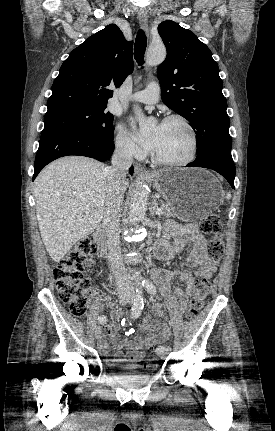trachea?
Instances as JSON below:
<instances>
[{"label": "trachea", "mask_w": 275, "mask_h": 431, "mask_svg": "<svg viewBox=\"0 0 275 431\" xmlns=\"http://www.w3.org/2000/svg\"><path fill=\"white\" fill-rule=\"evenodd\" d=\"M147 46V39L143 30H138L135 45H134V57L138 65L144 64V55Z\"/></svg>", "instance_id": "1"}]
</instances>
